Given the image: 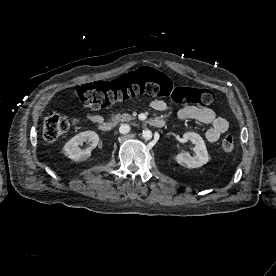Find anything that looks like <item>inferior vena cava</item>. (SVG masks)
Returning a JSON list of instances; mask_svg holds the SVG:
<instances>
[{"instance_id":"1","label":"inferior vena cava","mask_w":276,"mask_h":276,"mask_svg":"<svg viewBox=\"0 0 276 276\" xmlns=\"http://www.w3.org/2000/svg\"><path fill=\"white\" fill-rule=\"evenodd\" d=\"M130 131V126L127 124H122L119 128L121 134H127Z\"/></svg>"}]
</instances>
